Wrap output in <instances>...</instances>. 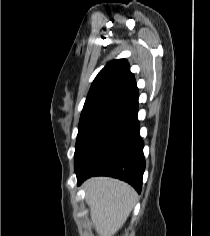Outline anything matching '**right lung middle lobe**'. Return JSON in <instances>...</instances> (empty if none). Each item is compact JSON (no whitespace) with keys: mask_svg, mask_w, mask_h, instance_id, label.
I'll list each match as a JSON object with an SVG mask.
<instances>
[{"mask_svg":"<svg viewBox=\"0 0 210 236\" xmlns=\"http://www.w3.org/2000/svg\"><path fill=\"white\" fill-rule=\"evenodd\" d=\"M132 94L129 90H119L104 98L85 103L78 126L75 154L95 127Z\"/></svg>","mask_w":210,"mask_h":236,"instance_id":"obj_1","label":"right lung middle lobe"}]
</instances>
